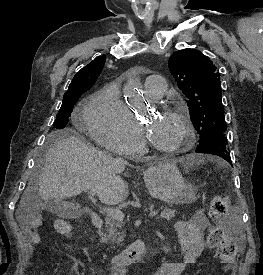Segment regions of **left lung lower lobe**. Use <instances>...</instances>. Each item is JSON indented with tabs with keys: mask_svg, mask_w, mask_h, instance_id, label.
<instances>
[{
	"mask_svg": "<svg viewBox=\"0 0 263 275\" xmlns=\"http://www.w3.org/2000/svg\"><path fill=\"white\" fill-rule=\"evenodd\" d=\"M196 152L220 156L232 165L229 148L227 146V138L224 133L213 135L199 142Z\"/></svg>",
	"mask_w": 263,
	"mask_h": 275,
	"instance_id": "0a47b994",
	"label": "left lung lower lobe"
}]
</instances>
